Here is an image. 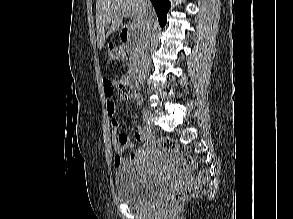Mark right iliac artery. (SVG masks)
Masks as SVG:
<instances>
[{"mask_svg":"<svg viewBox=\"0 0 293 219\" xmlns=\"http://www.w3.org/2000/svg\"><path fill=\"white\" fill-rule=\"evenodd\" d=\"M143 130H144L146 133H148V132H149V128H148V126H147V125H144V126H143Z\"/></svg>","mask_w":293,"mask_h":219,"instance_id":"obj_1","label":"right iliac artery"}]
</instances>
